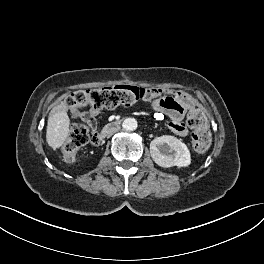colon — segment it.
Instances as JSON below:
<instances>
[{"label":"colon","mask_w":264,"mask_h":264,"mask_svg":"<svg viewBox=\"0 0 264 264\" xmlns=\"http://www.w3.org/2000/svg\"><path fill=\"white\" fill-rule=\"evenodd\" d=\"M147 90L133 86H106L70 93L65 102L70 109L89 107L94 109H114L119 106H130L145 98ZM188 125L193 129L191 145L193 150L204 153L211 144V133L208 129L206 115L197 107L189 109ZM92 138V131L80 123L73 124L70 135L62 146V154L67 162H73L78 150Z\"/></svg>","instance_id":"obj_1"}]
</instances>
